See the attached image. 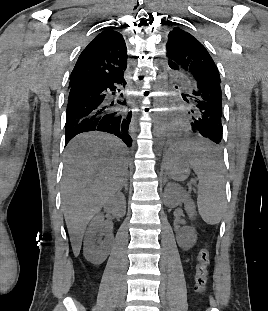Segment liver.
I'll list each match as a JSON object with an SVG mask.
<instances>
[{
  "instance_id": "6515ba94",
  "label": "liver",
  "mask_w": 268,
  "mask_h": 311,
  "mask_svg": "<svg viewBox=\"0 0 268 311\" xmlns=\"http://www.w3.org/2000/svg\"><path fill=\"white\" fill-rule=\"evenodd\" d=\"M124 143L103 133L75 137L64 160L62 204L75 256L91 218L114 196L128 172Z\"/></svg>"
}]
</instances>
